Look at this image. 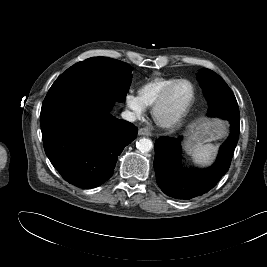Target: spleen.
Wrapping results in <instances>:
<instances>
[{
  "label": "spleen",
  "mask_w": 267,
  "mask_h": 267,
  "mask_svg": "<svg viewBox=\"0 0 267 267\" xmlns=\"http://www.w3.org/2000/svg\"><path fill=\"white\" fill-rule=\"evenodd\" d=\"M218 145L214 144H197L191 150L190 154L193 161L201 166L210 164L216 156Z\"/></svg>",
  "instance_id": "1"
}]
</instances>
